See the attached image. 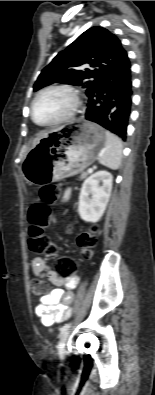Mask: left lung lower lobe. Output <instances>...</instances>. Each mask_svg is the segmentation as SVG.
<instances>
[{
    "mask_svg": "<svg viewBox=\"0 0 155 395\" xmlns=\"http://www.w3.org/2000/svg\"><path fill=\"white\" fill-rule=\"evenodd\" d=\"M131 64L128 56L120 60L103 77L88 96L85 118L126 140L132 104Z\"/></svg>",
    "mask_w": 155,
    "mask_h": 395,
    "instance_id": "1",
    "label": "left lung lower lobe"
}]
</instances>
